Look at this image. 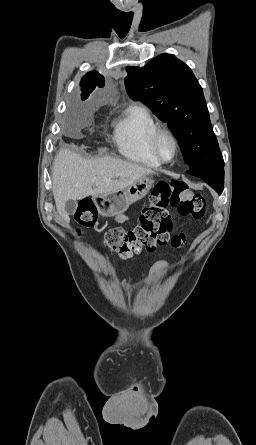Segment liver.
<instances>
[{"mask_svg": "<svg viewBox=\"0 0 256 445\" xmlns=\"http://www.w3.org/2000/svg\"><path fill=\"white\" fill-rule=\"evenodd\" d=\"M152 174L153 170L131 162L110 157L87 160L68 149L60 150L52 168L57 212L68 221L66 201L121 191Z\"/></svg>", "mask_w": 256, "mask_h": 445, "instance_id": "liver-1", "label": "liver"}]
</instances>
